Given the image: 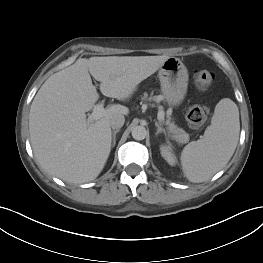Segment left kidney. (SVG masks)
I'll list each match as a JSON object with an SVG mask.
<instances>
[{
	"label": "left kidney",
	"instance_id": "1",
	"mask_svg": "<svg viewBox=\"0 0 263 263\" xmlns=\"http://www.w3.org/2000/svg\"><path fill=\"white\" fill-rule=\"evenodd\" d=\"M161 155L162 157L170 164H175V157L172 153L171 147L163 145L161 148Z\"/></svg>",
	"mask_w": 263,
	"mask_h": 263
}]
</instances>
